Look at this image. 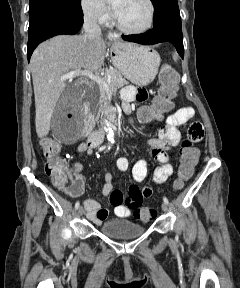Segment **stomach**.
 Returning a JSON list of instances; mask_svg holds the SVG:
<instances>
[{"instance_id":"stomach-1","label":"stomach","mask_w":240,"mask_h":288,"mask_svg":"<svg viewBox=\"0 0 240 288\" xmlns=\"http://www.w3.org/2000/svg\"><path fill=\"white\" fill-rule=\"evenodd\" d=\"M110 54L114 67L139 86L154 80L161 62L160 55L151 47L122 41L112 44Z\"/></svg>"}]
</instances>
